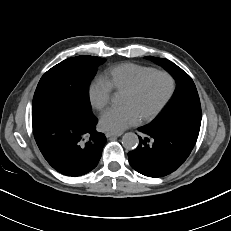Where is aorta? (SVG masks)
Instances as JSON below:
<instances>
[{
    "mask_svg": "<svg viewBox=\"0 0 231 231\" xmlns=\"http://www.w3.org/2000/svg\"><path fill=\"white\" fill-rule=\"evenodd\" d=\"M139 144V138L135 133L128 132L122 137V145L129 150L135 149Z\"/></svg>",
    "mask_w": 231,
    "mask_h": 231,
    "instance_id": "aorta-1",
    "label": "aorta"
}]
</instances>
